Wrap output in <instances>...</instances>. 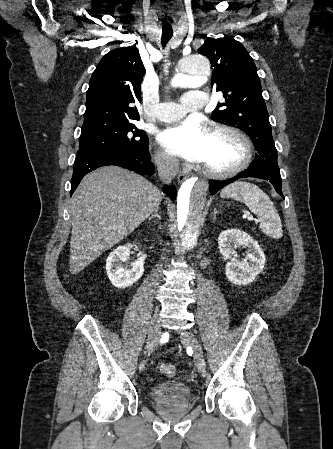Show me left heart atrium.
Wrapping results in <instances>:
<instances>
[{"label": "left heart atrium", "mask_w": 333, "mask_h": 449, "mask_svg": "<svg viewBox=\"0 0 333 449\" xmlns=\"http://www.w3.org/2000/svg\"><path fill=\"white\" fill-rule=\"evenodd\" d=\"M208 131L195 119L169 127L159 135V141L173 155L191 162H200Z\"/></svg>", "instance_id": "left-heart-atrium-1"}]
</instances>
